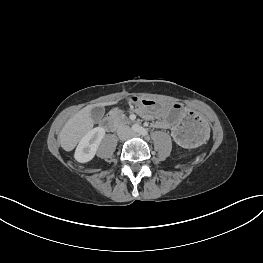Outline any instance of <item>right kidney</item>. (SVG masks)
<instances>
[{
  "mask_svg": "<svg viewBox=\"0 0 263 263\" xmlns=\"http://www.w3.org/2000/svg\"><path fill=\"white\" fill-rule=\"evenodd\" d=\"M104 136L105 129L102 127H96L87 132L80 140L75 150V159L80 163L91 161L94 158Z\"/></svg>",
  "mask_w": 263,
  "mask_h": 263,
  "instance_id": "ca27d5eb",
  "label": "right kidney"
}]
</instances>
